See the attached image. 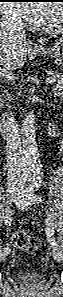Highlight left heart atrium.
Returning <instances> with one entry per match:
<instances>
[{
    "instance_id": "obj_1",
    "label": "left heart atrium",
    "mask_w": 63,
    "mask_h": 297,
    "mask_svg": "<svg viewBox=\"0 0 63 297\" xmlns=\"http://www.w3.org/2000/svg\"><path fill=\"white\" fill-rule=\"evenodd\" d=\"M25 10L28 14L32 15L33 17H36V15L38 14V11L30 7H27Z\"/></svg>"
}]
</instances>
